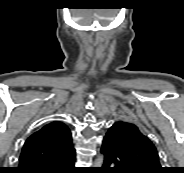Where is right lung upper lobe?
Returning a JSON list of instances; mask_svg holds the SVG:
<instances>
[{
	"label": "right lung upper lobe",
	"mask_w": 184,
	"mask_h": 173,
	"mask_svg": "<svg viewBox=\"0 0 184 173\" xmlns=\"http://www.w3.org/2000/svg\"><path fill=\"white\" fill-rule=\"evenodd\" d=\"M73 150L69 128L60 121L51 122L26 140L17 169L60 158Z\"/></svg>",
	"instance_id": "right-lung-upper-lobe-1"
}]
</instances>
